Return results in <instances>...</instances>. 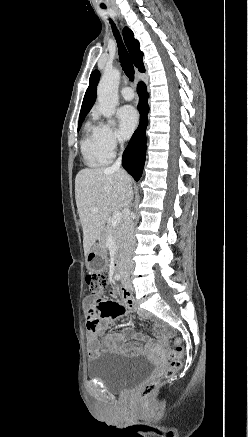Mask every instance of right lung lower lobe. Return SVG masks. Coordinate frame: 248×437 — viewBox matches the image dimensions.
<instances>
[{"label":"right lung lower lobe","instance_id":"obj_1","mask_svg":"<svg viewBox=\"0 0 248 437\" xmlns=\"http://www.w3.org/2000/svg\"><path fill=\"white\" fill-rule=\"evenodd\" d=\"M138 93L140 96L138 109L141 113V121L138 129L135 131L132 138L130 139L122 158V165L124 169L130 175H132V177L136 181H138L142 175L146 154L148 96L146 92V86L142 82L138 84Z\"/></svg>","mask_w":248,"mask_h":437}]
</instances>
